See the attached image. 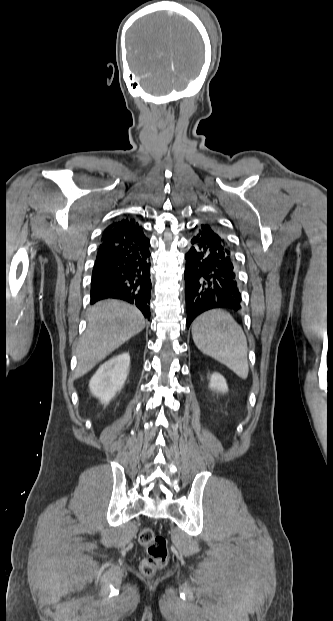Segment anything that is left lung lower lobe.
<instances>
[{
	"label": "left lung lower lobe",
	"instance_id": "0a47b994",
	"mask_svg": "<svg viewBox=\"0 0 333 621\" xmlns=\"http://www.w3.org/2000/svg\"><path fill=\"white\" fill-rule=\"evenodd\" d=\"M185 258L187 327L213 308L239 310L241 294L233 250L209 226H196Z\"/></svg>",
	"mask_w": 333,
	"mask_h": 621
}]
</instances>
